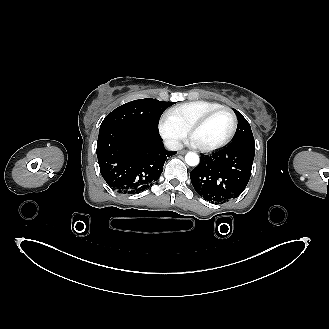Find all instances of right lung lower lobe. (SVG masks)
Here are the masks:
<instances>
[{
    "mask_svg": "<svg viewBox=\"0 0 329 329\" xmlns=\"http://www.w3.org/2000/svg\"><path fill=\"white\" fill-rule=\"evenodd\" d=\"M96 152L102 177L121 194L151 187L176 154L164 148L159 132L120 125L100 128Z\"/></svg>",
    "mask_w": 329,
    "mask_h": 329,
    "instance_id": "98d812e1",
    "label": "right lung lower lobe"
}]
</instances>
